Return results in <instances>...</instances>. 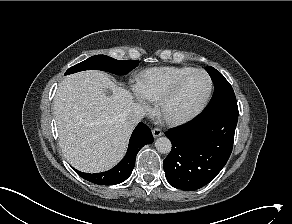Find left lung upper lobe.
Instances as JSON below:
<instances>
[{
    "label": "left lung upper lobe",
    "mask_w": 292,
    "mask_h": 224,
    "mask_svg": "<svg viewBox=\"0 0 292 224\" xmlns=\"http://www.w3.org/2000/svg\"><path fill=\"white\" fill-rule=\"evenodd\" d=\"M206 71L209 73L214 83V93L205 111L226 103L236 102V97L232 86L225 79V77L215 68L210 66L206 67Z\"/></svg>",
    "instance_id": "5c2ea615"
}]
</instances>
